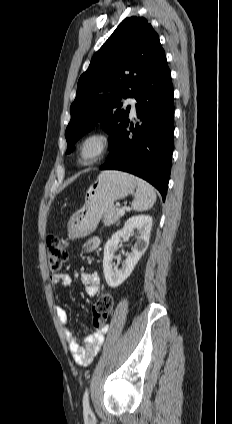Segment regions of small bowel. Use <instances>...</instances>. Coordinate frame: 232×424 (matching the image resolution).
Listing matches in <instances>:
<instances>
[{"instance_id": "c3829d8e", "label": "small bowel", "mask_w": 232, "mask_h": 424, "mask_svg": "<svg viewBox=\"0 0 232 424\" xmlns=\"http://www.w3.org/2000/svg\"><path fill=\"white\" fill-rule=\"evenodd\" d=\"M99 245V238L91 237L83 243L82 248L84 252L92 253L98 249ZM80 279L89 297H95L99 293L100 278L97 272H82L80 274ZM52 282L58 287L67 288L71 285V278L67 274L57 273L52 276ZM55 313L62 325L68 324L69 313L64 307L56 306ZM107 329L108 327L104 326L101 330L87 335L84 338V346H81L73 331L69 328H65L64 335L69 351L78 365L87 366L92 363L103 344L104 334L107 332Z\"/></svg>"}]
</instances>
